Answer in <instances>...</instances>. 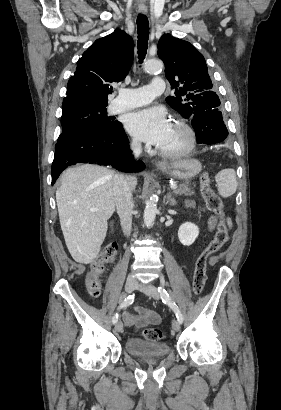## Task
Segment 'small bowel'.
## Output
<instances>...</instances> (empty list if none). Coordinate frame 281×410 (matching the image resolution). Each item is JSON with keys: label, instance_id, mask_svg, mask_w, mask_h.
I'll list each match as a JSON object with an SVG mask.
<instances>
[{"label": "small bowel", "instance_id": "c3829d8e", "mask_svg": "<svg viewBox=\"0 0 281 410\" xmlns=\"http://www.w3.org/2000/svg\"><path fill=\"white\" fill-rule=\"evenodd\" d=\"M216 224V218L210 217L208 221V229L213 230ZM135 312L126 311L123 313L125 325L135 329H140L147 325H157L161 322L160 315L143 306H135Z\"/></svg>", "mask_w": 281, "mask_h": 410}]
</instances>
